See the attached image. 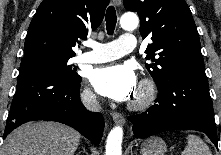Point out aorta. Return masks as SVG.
<instances>
[{
	"mask_svg": "<svg viewBox=\"0 0 221 155\" xmlns=\"http://www.w3.org/2000/svg\"><path fill=\"white\" fill-rule=\"evenodd\" d=\"M138 17L134 14H125L121 17V27L127 31L137 28ZM123 138V129L120 126L114 127L108 134L106 141V155H121V144Z\"/></svg>",
	"mask_w": 221,
	"mask_h": 155,
	"instance_id": "obj_1",
	"label": "aorta"
}]
</instances>
